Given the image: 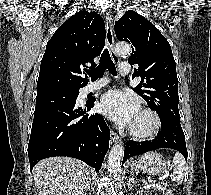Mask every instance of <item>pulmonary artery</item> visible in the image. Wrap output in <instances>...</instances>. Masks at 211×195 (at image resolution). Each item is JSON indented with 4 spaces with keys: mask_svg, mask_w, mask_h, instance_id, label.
<instances>
[{
    "mask_svg": "<svg viewBox=\"0 0 211 195\" xmlns=\"http://www.w3.org/2000/svg\"><path fill=\"white\" fill-rule=\"evenodd\" d=\"M119 72L121 75H127L129 74L130 72V65L128 63H120L119 64ZM108 83L107 80L105 79H101V80H98L92 84H89L87 86V91H95L97 89H100L104 86H106Z\"/></svg>",
    "mask_w": 211,
    "mask_h": 195,
    "instance_id": "1",
    "label": "pulmonary artery"
}]
</instances>
